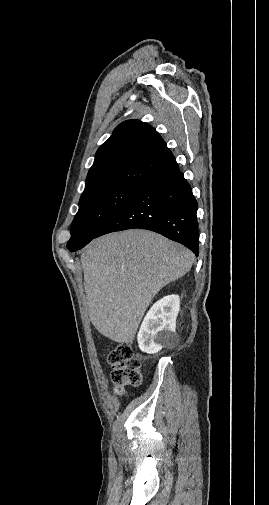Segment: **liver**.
I'll list each match as a JSON object with an SVG mask.
<instances>
[{
    "instance_id": "6515ba94",
    "label": "liver",
    "mask_w": 269,
    "mask_h": 505,
    "mask_svg": "<svg viewBox=\"0 0 269 505\" xmlns=\"http://www.w3.org/2000/svg\"><path fill=\"white\" fill-rule=\"evenodd\" d=\"M194 259L183 245L147 230L93 240L81 255L90 321L103 336L132 343L153 297L184 276Z\"/></svg>"
}]
</instances>
